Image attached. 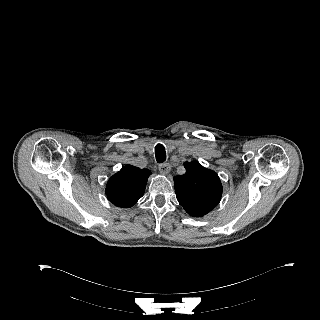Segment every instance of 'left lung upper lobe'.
I'll return each mask as SVG.
<instances>
[{
    "label": "left lung upper lobe",
    "mask_w": 320,
    "mask_h": 320,
    "mask_svg": "<svg viewBox=\"0 0 320 320\" xmlns=\"http://www.w3.org/2000/svg\"><path fill=\"white\" fill-rule=\"evenodd\" d=\"M186 173L174 177L177 200L193 217H202L221 200L223 187L218 175L199 162H185Z\"/></svg>",
    "instance_id": "obj_1"
}]
</instances>
